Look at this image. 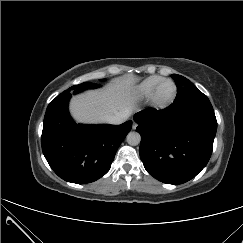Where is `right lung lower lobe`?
I'll use <instances>...</instances> for the list:
<instances>
[{"label": "right lung lower lobe", "instance_id": "right-lung-lower-lobe-1", "mask_svg": "<svg viewBox=\"0 0 243 243\" xmlns=\"http://www.w3.org/2000/svg\"><path fill=\"white\" fill-rule=\"evenodd\" d=\"M100 87L84 82L59 94L47 107L41 137L42 151L53 171L63 180L85 184L110 169L115 153L130 132L132 121L121 125L76 124L69 115L70 92Z\"/></svg>", "mask_w": 243, "mask_h": 243}]
</instances>
